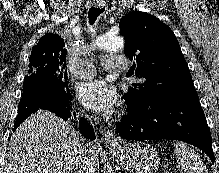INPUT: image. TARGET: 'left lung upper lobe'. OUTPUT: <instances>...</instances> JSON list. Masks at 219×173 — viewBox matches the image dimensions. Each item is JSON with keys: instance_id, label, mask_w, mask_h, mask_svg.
I'll return each instance as SVG.
<instances>
[{"instance_id": "obj_1", "label": "left lung upper lobe", "mask_w": 219, "mask_h": 173, "mask_svg": "<svg viewBox=\"0 0 219 173\" xmlns=\"http://www.w3.org/2000/svg\"><path fill=\"white\" fill-rule=\"evenodd\" d=\"M124 52L135 74L143 78L132 83L123 95L131 106H152L184 96H195L192 77L173 31L156 17L133 11L121 18Z\"/></svg>"}]
</instances>
